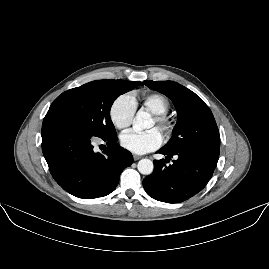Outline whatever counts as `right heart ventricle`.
<instances>
[{
    "label": "right heart ventricle",
    "mask_w": 269,
    "mask_h": 269,
    "mask_svg": "<svg viewBox=\"0 0 269 269\" xmlns=\"http://www.w3.org/2000/svg\"><path fill=\"white\" fill-rule=\"evenodd\" d=\"M142 110H146L152 114L167 113L170 109L168 98L159 93L145 95L139 99Z\"/></svg>",
    "instance_id": "e07e8e85"
}]
</instances>
